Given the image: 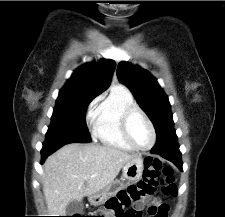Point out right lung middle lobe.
Masks as SVG:
<instances>
[{"instance_id": "right-lung-middle-lobe-1", "label": "right lung middle lobe", "mask_w": 225, "mask_h": 217, "mask_svg": "<svg viewBox=\"0 0 225 217\" xmlns=\"http://www.w3.org/2000/svg\"><path fill=\"white\" fill-rule=\"evenodd\" d=\"M94 98L93 96H58L45 143L91 142L85 113Z\"/></svg>"}]
</instances>
